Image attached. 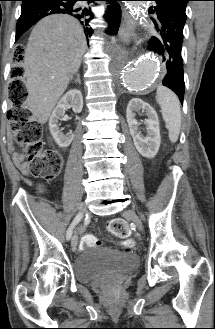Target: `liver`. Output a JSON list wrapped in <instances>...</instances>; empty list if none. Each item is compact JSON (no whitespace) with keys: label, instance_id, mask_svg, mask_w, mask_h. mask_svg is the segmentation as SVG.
Wrapping results in <instances>:
<instances>
[{"label":"liver","instance_id":"liver-1","mask_svg":"<svg viewBox=\"0 0 215 329\" xmlns=\"http://www.w3.org/2000/svg\"><path fill=\"white\" fill-rule=\"evenodd\" d=\"M85 50L83 28L69 15L45 17L33 28L24 57L25 86L29 107L41 124L79 70Z\"/></svg>","mask_w":215,"mask_h":329}]
</instances>
